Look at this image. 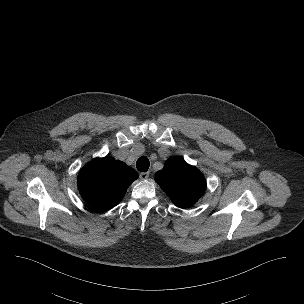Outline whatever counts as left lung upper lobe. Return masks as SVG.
I'll list each match as a JSON object with an SVG mask.
<instances>
[{
    "label": "left lung upper lobe",
    "mask_w": 304,
    "mask_h": 304,
    "mask_svg": "<svg viewBox=\"0 0 304 304\" xmlns=\"http://www.w3.org/2000/svg\"><path fill=\"white\" fill-rule=\"evenodd\" d=\"M155 176L163 191L181 208L195 204L206 189L203 174L196 167L177 157L169 158L164 168Z\"/></svg>",
    "instance_id": "5c2ea615"
}]
</instances>
